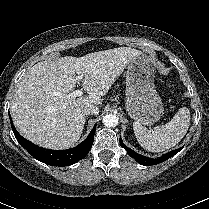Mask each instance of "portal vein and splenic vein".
Returning <instances> with one entry per match:
<instances>
[{
  "instance_id": "1",
  "label": "portal vein and splenic vein",
  "mask_w": 209,
  "mask_h": 209,
  "mask_svg": "<svg viewBox=\"0 0 209 209\" xmlns=\"http://www.w3.org/2000/svg\"><path fill=\"white\" fill-rule=\"evenodd\" d=\"M82 78H83V76H81V75L77 77V79L80 80V81L82 80ZM82 95H83L82 90H75L71 93V96H73V97H79V96H82Z\"/></svg>"
}]
</instances>
